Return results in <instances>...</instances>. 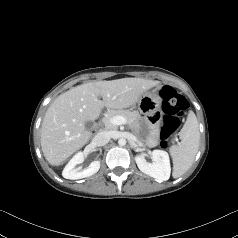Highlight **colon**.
I'll return each mask as SVG.
<instances>
[{
	"label": "colon",
	"instance_id": "5ec220e1",
	"mask_svg": "<svg viewBox=\"0 0 238 238\" xmlns=\"http://www.w3.org/2000/svg\"><path fill=\"white\" fill-rule=\"evenodd\" d=\"M162 99L163 120L161 122V145H168V138L173 135L180 126V117L188 107L186 98L179 94L173 87L164 86L160 90Z\"/></svg>",
	"mask_w": 238,
	"mask_h": 238
}]
</instances>
